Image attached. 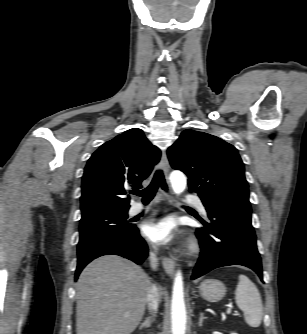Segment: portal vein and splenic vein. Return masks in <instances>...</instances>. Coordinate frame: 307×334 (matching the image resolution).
Here are the masks:
<instances>
[{
  "label": "portal vein and splenic vein",
  "instance_id": "obj_1",
  "mask_svg": "<svg viewBox=\"0 0 307 334\" xmlns=\"http://www.w3.org/2000/svg\"><path fill=\"white\" fill-rule=\"evenodd\" d=\"M231 312V308L229 307L228 309H227V313H230Z\"/></svg>",
  "mask_w": 307,
  "mask_h": 334
}]
</instances>
